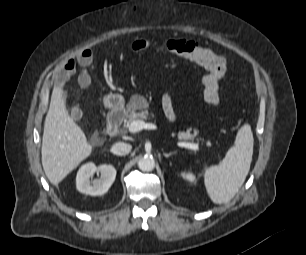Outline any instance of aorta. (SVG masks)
I'll use <instances>...</instances> for the list:
<instances>
[{
	"label": "aorta",
	"instance_id": "762f6f07",
	"mask_svg": "<svg viewBox=\"0 0 306 255\" xmlns=\"http://www.w3.org/2000/svg\"><path fill=\"white\" fill-rule=\"evenodd\" d=\"M138 167L144 172H150L155 167V161L150 156H145L138 161Z\"/></svg>",
	"mask_w": 306,
	"mask_h": 255
}]
</instances>
